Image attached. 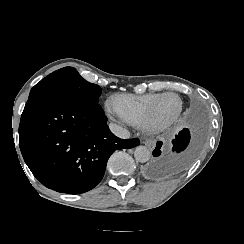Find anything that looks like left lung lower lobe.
Wrapping results in <instances>:
<instances>
[{"mask_svg":"<svg viewBox=\"0 0 244 244\" xmlns=\"http://www.w3.org/2000/svg\"><path fill=\"white\" fill-rule=\"evenodd\" d=\"M190 141V133L189 130L184 128L182 131L179 132V134L176 136V138L173 140V148L172 150L176 153H179L183 151L189 144ZM161 145L159 142L156 145L155 150L153 151V156L158 157L161 154ZM173 162H165L161 159H158L156 161H153L148 166V172L150 174H158L161 171L165 170L166 168H169L173 166Z\"/></svg>","mask_w":244,"mask_h":244,"instance_id":"left-lung-lower-lobe-1","label":"left lung lower lobe"}]
</instances>
